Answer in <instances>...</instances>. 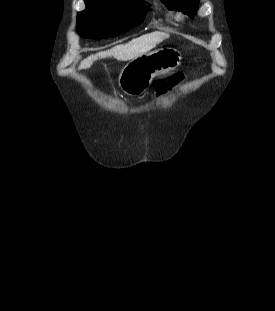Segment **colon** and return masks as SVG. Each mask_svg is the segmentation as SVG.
Listing matches in <instances>:
<instances>
[{"label": "colon", "instance_id": "5ec220e1", "mask_svg": "<svg viewBox=\"0 0 275 311\" xmlns=\"http://www.w3.org/2000/svg\"><path fill=\"white\" fill-rule=\"evenodd\" d=\"M180 79H181L180 76H175V77L171 78L169 82H167V83H162V84L160 85V89L162 90V89L166 88V87L169 86V85H173V84H175L176 82H178Z\"/></svg>", "mask_w": 275, "mask_h": 311}]
</instances>
